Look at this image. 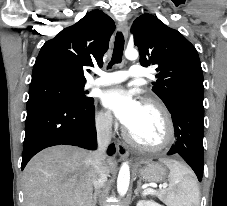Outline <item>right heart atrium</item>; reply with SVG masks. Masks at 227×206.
<instances>
[{"instance_id":"1","label":"right heart atrium","mask_w":227,"mask_h":206,"mask_svg":"<svg viewBox=\"0 0 227 206\" xmlns=\"http://www.w3.org/2000/svg\"><path fill=\"white\" fill-rule=\"evenodd\" d=\"M95 122L100 130H109L112 126V116L109 112L101 110L96 113Z\"/></svg>"}]
</instances>
